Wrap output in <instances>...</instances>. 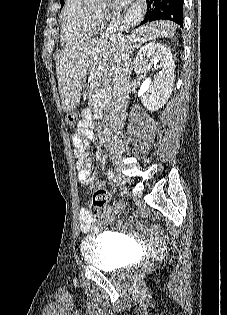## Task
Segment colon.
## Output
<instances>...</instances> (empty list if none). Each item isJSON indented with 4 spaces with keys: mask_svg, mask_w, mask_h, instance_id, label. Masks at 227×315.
<instances>
[{
    "mask_svg": "<svg viewBox=\"0 0 227 315\" xmlns=\"http://www.w3.org/2000/svg\"><path fill=\"white\" fill-rule=\"evenodd\" d=\"M78 118L76 114L70 113L67 116V123L69 126L74 127L77 125ZM109 200V194L101 189L96 188L92 194V203L96 208V215L101 218L103 223L108 221V215L110 214V209L107 206ZM149 268L148 264H142L138 267L135 272V275L138 276L141 273L145 272Z\"/></svg>",
    "mask_w": 227,
    "mask_h": 315,
    "instance_id": "colon-1",
    "label": "colon"
}]
</instances>
